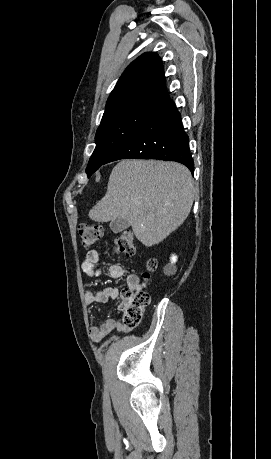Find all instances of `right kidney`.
Here are the masks:
<instances>
[{"instance_id":"ca27d5eb","label":"right kidney","mask_w":271,"mask_h":459,"mask_svg":"<svg viewBox=\"0 0 271 459\" xmlns=\"http://www.w3.org/2000/svg\"><path fill=\"white\" fill-rule=\"evenodd\" d=\"M171 263H167V265H165L164 267V273H166V275H172V273H175L176 271V267H175V263L177 261V255H171V259H170Z\"/></svg>"}]
</instances>
